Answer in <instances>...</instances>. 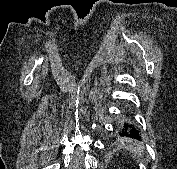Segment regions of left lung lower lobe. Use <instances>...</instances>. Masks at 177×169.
<instances>
[{
	"mask_svg": "<svg viewBox=\"0 0 177 169\" xmlns=\"http://www.w3.org/2000/svg\"><path fill=\"white\" fill-rule=\"evenodd\" d=\"M118 134L120 136L131 137L140 140L138 130L131 124L125 123L122 128H120Z\"/></svg>",
	"mask_w": 177,
	"mask_h": 169,
	"instance_id": "0a47b994",
	"label": "left lung lower lobe"
}]
</instances>
